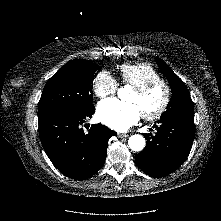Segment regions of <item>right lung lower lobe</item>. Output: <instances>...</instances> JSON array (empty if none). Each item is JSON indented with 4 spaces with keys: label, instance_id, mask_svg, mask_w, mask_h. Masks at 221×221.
Returning a JSON list of instances; mask_svg holds the SVG:
<instances>
[{
    "label": "right lung lower lobe",
    "instance_id": "obj_1",
    "mask_svg": "<svg viewBox=\"0 0 221 221\" xmlns=\"http://www.w3.org/2000/svg\"><path fill=\"white\" fill-rule=\"evenodd\" d=\"M95 107L85 110H61L38 117L42 146L65 176L83 180L93 176L104 164L107 144L117 133L101 124H93L84 133L82 124L92 117Z\"/></svg>",
    "mask_w": 221,
    "mask_h": 221
}]
</instances>
